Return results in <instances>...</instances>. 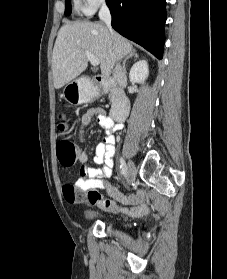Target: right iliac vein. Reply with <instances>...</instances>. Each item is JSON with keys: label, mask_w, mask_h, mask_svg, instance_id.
<instances>
[{"label": "right iliac vein", "mask_w": 227, "mask_h": 279, "mask_svg": "<svg viewBox=\"0 0 227 279\" xmlns=\"http://www.w3.org/2000/svg\"><path fill=\"white\" fill-rule=\"evenodd\" d=\"M136 176V168L132 161L127 163V182L128 184L132 183Z\"/></svg>", "instance_id": "1"}]
</instances>
